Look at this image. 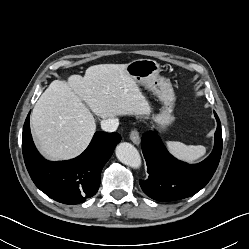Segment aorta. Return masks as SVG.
I'll return each instance as SVG.
<instances>
[{
  "label": "aorta",
  "mask_w": 249,
  "mask_h": 249,
  "mask_svg": "<svg viewBox=\"0 0 249 249\" xmlns=\"http://www.w3.org/2000/svg\"><path fill=\"white\" fill-rule=\"evenodd\" d=\"M116 156L118 160L132 168L141 166V157L138 150L130 143L123 142L116 147Z\"/></svg>",
  "instance_id": "aorta-1"
}]
</instances>
